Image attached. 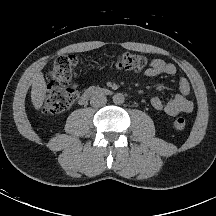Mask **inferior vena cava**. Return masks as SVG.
<instances>
[{
    "instance_id": "1",
    "label": "inferior vena cava",
    "mask_w": 216,
    "mask_h": 216,
    "mask_svg": "<svg viewBox=\"0 0 216 216\" xmlns=\"http://www.w3.org/2000/svg\"><path fill=\"white\" fill-rule=\"evenodd\" d=\"M107 103V98L104 94H94L90 98V104L91 106L95 108H100Z\"/></svg>"
}]
</instances>
